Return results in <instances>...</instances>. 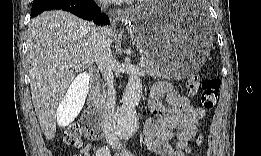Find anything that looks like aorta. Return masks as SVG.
<instances>
[{
	"label": "aorta",
	"mask_w": 261,
	"mask_h": 156,
	"mask_svg": "<svg viewBox=\"0 0 261 156\" xmlns=\"http://www.w3.org/2000/svg\"><path fill=\"white\" fill-rule=\"evenodd\" d=\"M142 94V81L138 74L130 73L126 90L123 94V104L113 116V125L117 135L123 139L131 138L138 126L136 107ZM81 100V98H80Z\"/></svg>",
	"instance_id": "762f6f07"
}]
</instances>
